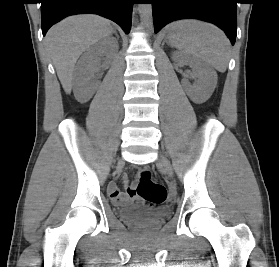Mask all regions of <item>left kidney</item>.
Listing matches in <instances>:
<instances>
[{
  "mask_svg": "<svg viewBox=\"0 0 279 267\" xmlns=\"http://www.w3.org/2000/svg\"><path fill=\"white\" fill-rule=\"evenodd\" d=\"M177 62L187 63L197 80L191 84L188 80H182V86L188 97L196 104H202L209 99L217 84V74L209 65L187 54H178L174 57Z\"/></svg>",
  "mask_w": 279,
  "mask_h": 267,
  "instance_id": "1",
  "label": "left kidney"
}]
</instances>
